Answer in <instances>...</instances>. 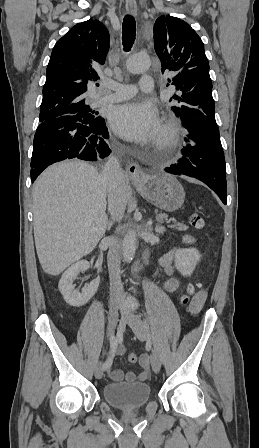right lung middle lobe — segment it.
<instances>
[{"label": "right lung middle lobe", "instance_id": "1", "mask_svg": "<svg viewBox=\"0 0 259 448\" xmlns=\"http://www.w3.org/2000/svg\"><path fill=\"white\" fill-rule=\"evenodd\" d=\"M97 114L98 113L92 111L88 105H76L60 111L40 114L39 121L43 123L62 116H75V118L79 119L81 122L88 124L100 119V116H96Z\"/></svg>", "mask_w": 259, "mask_h": 448}]
</instances>
